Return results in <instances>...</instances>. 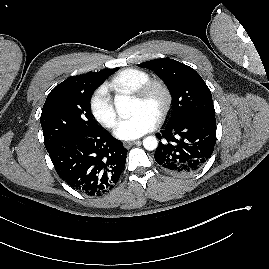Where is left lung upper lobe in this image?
Instances as JSON below:
<instances>
[{
  "mask_svg": "<svg viewBox=\"0 0 269 269\" xmlns=\"http://www.w3.org/2000/svg\"><path fill=\"white\" fill-rule=\"evenodd\" d=\"M138 66L154 71L168 86L173 102L170 124L191 116H215L211 91L193 68L168 58Z\"/></svg>",
  "mask_w": 269,
  "mask_h": 269,
  "instance_id": "5c2ea615",
  "label": "left lung upper lobe"
}]
</instances>
